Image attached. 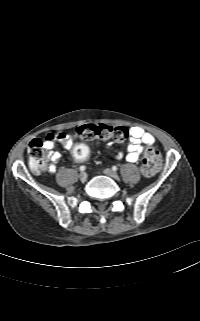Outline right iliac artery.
Here are the masks:
<instances>
[{"mask_svg":"<svg viewBox=\"0 0 200 321\" xmlns=\"http://www.w3.org/2000/svg\"><path fill=\"white\" fill-rule=\"evenodd\" d=\"M85 169H86V167H85V166H83V165H82V166H80V168H79V170H80V171H85Z\"/></svg>","mask_w":200,"mask_h":321,"instance_id":"1","label":"right iliac artery"}]
</instances>
